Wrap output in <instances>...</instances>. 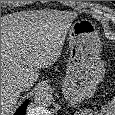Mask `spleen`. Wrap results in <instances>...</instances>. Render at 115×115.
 Listing matches in <instances>:
<instances>
[{
    "label": "spleen",
    "instance_id": "obj_1",
    "mask_svg": "<svg viewBox=\"0 0 115 115\" xmlns=\"http://www.w3.org/2000/svg\"><path fill=\"white\" fill-rule=\"evenodd\" d=\"M93 113L92 109H85L81 112L76 111L74 115H115V96L108 105L102 107L99 113Z\"/></svg>",
    "mask_w": 115,
    "mask_h": 115
}]
</instances>
